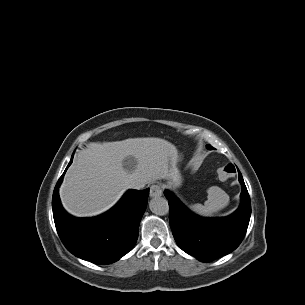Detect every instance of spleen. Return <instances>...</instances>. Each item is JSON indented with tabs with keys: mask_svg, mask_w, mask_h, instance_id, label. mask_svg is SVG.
<instances>
[{
	"mask_svg": "<svg viewBox=\"0 0 305 305\" xmlns=\"http://www.w3.org/2000/svg\"><path fill=\"white\" fill-rule=\"evenodd\" d=\"M207 192L208 200L205 201L204 205L197 203L190 206L194 212L203 216H209L218 212L228 203L227 195L221 188L212 186Z\"/></svg>",
	"mask_w": 305,
	"mask_h": 305,
	"instance_id": "3e777b00",
	"label": "spleen"
}]
</instances>
